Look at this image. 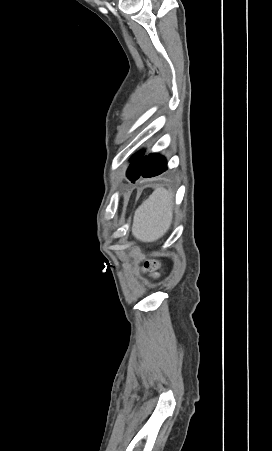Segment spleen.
Wrapping results in <instances>:
<instances>
[{
  "mask_svg": "<svg viewBox=\"0 0 272 451\" xmlns=\"http://www.w3.org/2000/svg\"><path fill=\"white\" fill-rule=\"evenodd\" d=\"M172 194L166 188H156L137 208L132 233L141 241H156L172 224Z\"/></svg>",
  "mask_w": 272,
  "mask_h": 451,
  "instance_id": "1",
  "label": "spleen"
}]
</instances>
